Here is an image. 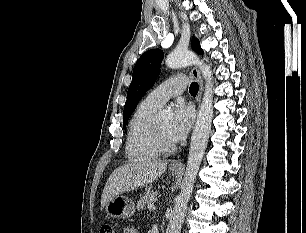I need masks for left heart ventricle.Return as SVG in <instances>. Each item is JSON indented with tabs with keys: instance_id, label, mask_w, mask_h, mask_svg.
Wrapping results in <instances>:
<instances>
[{
	"instance_id": "left-heart-ventricle-1",
	"label": "left heart ventricle",
	"mask_w": 306,
	"mask_h": 233,
	"mask_svg": "<svg viewBox=\"0 0 306 233\" xmlns=\"http://www.w3.org/2000/svg\"><path fill=\"white\" fill-rule=\"evenodd\" d=\"M156 126L160 132V134L162 135L163 139L168 142V143H173L168 135V131H169V127H170V122L169 121H165V122H157Z\"/></svg>"
}]
</instances>
